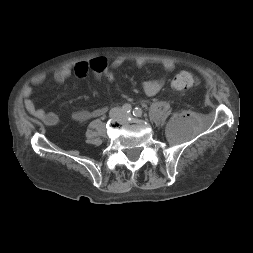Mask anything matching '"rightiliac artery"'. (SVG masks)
<instances>
[{
  "mask_svg": "<svg viewBox=\"0 0 253 253\" xmlns=\"http://www.w3.org/2000/svg\"><path fill=\"white\" fill-rule=\"evenodd\" d=\"M122 109L125 113H130L132 111V107L130 104H124Z\"/></svg>",
  "mask_w": 253,
  "mask_h": 253,
  "instance_id": "right-iliac-artery-1",
  "label": "right iliac artery"
}]
</instances>
